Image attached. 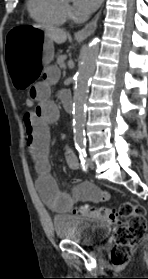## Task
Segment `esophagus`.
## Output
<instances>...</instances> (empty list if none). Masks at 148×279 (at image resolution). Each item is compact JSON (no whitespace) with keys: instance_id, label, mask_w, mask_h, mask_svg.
Masks as SVG:
<instances>
[{"instance_id":"obj_1","label":"esophagus","mask_w":148,"mask_h":279,"mask_svg":"<svg viewBox=\"0 0 148 279\" xmlns=\"http://www.w3.org/2000/svg\"><path fill=\"white\" fill-rule=\"evenodd\" d=\"M101 10L98 12V14L95 16V18L89 22L88 24L85 25L84 28L81 30L77 31L75 33V38L77 40H84L88 36H90L97 28L98 20L100 18Z\"/></svg>"}]
</instances>
